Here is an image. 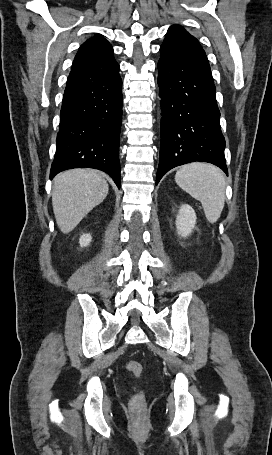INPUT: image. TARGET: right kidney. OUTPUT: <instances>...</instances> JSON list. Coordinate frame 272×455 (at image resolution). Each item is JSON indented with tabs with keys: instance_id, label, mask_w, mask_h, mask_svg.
Listing matches in <instances>:
<instances>
[{
	"instance_id": "ca27d5eb",
	"label": "right kidney",
	"mask_w": 272,
	"mask_h": 455,
	"mask_svg": "<svg viewBox=\"0 0 272 455\" xmlns=\"http://www.w3.org/2000/svg\"><path fill=\"white\" fill-rule=\"evenodd\" d=\"M91 235L90 234H83L80 239H79V244L81 247H86L90 244L91 242Z\"/></svg>"
}]
</instances>
